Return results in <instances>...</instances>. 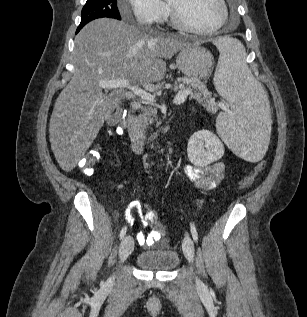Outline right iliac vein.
Instances as JSON below:
<instances>
[{"instance_id":"right-iliac-vein-1","label":"right iliac vein","mask_w":307,"mask_h":317,"mask_svg":"<svg viewBox=\"0 0 307 317\" xmlns=\"http://www.w3.org/2000/svg\"><path fill=\"white\" fill-rule=\"evenodd\" d=\"M133 247H134V241L132 239V237L130 236H126L119 247V262L122 263L124 262L128 256L131 254V252L133 251ZM115 280V276H112L110 278V283H113Z\"/></svg>"}]
</instances>
